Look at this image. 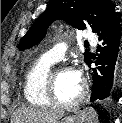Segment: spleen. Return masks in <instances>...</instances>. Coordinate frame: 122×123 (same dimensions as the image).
I'll return each instance as SVG.
<instances>
[{
	"mask_svg": "<svg viewBox=\"0 0 122 123\" xmlns=\"http://www.w3.org/2000/svg\"><path fill=\"white\" fill-rule=\"evenodd\" d=\"M87 123H98L97 112L93 108H86L83 111Z\"/></svg>",
	"mask_w": 122,
	"mask_h": 123,
	"instance_id": "1",
	"label": "spleen"
}]
</instances>
